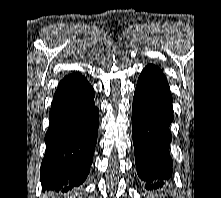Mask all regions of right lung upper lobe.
I'll return each instance as SVG.
<instances>
[{
  "label": "right lung upper lobe",
  "mask_w": 221,
  "mask_h": 198,
  "mask_svg": "<svg viewBox=\"0 0 221 198\" xmlns=\"http://www.w3.org/2000/svg\"><path fill=\"white\" fill-rule=\"evenodd\" d=\"M75 74H77V73H74V74H70V75L65 76L64 79H63V81L66 80V79H68V78H70V77H72V76H74ZM61 82H62V81H61Z\"/></svg>",
  "instance_id": "cb5924a9"
}]
</instances>
